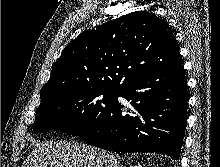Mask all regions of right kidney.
I'll return each mask as SVG.
<instances>
[{"label":"right kidney","instance_id":"right-kidney-1","mask_svg":"<svg viewBox=\"0 0 220 167\" xmlns=\"http://www.w3.org/2000/svg\"><path fill=\"white\" fill-rule=\"evenodd\" d=\"M134 167H142V165L138 164V165H136V166H134Z\"/></svg>","mask_w":220,"mask_h":167}]
</instances>
